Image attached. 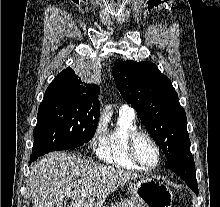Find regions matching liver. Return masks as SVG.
Here are the masks:
<instances>
[{"label": "liver", "instance_id": "obj_1", "mask_svg": "<svg viewBox=\"0 0 220 207\" xmlns=\"http://www.w3.org/2000/svg\"><path fill=\"white\" fill-rule=\"evenodd\" d=\"M138 178V174L74 154L49 153L31 168L32 207H63L69 197L67 207H100L111 193Z\"/></svg>", "mask_w": 220, "mask_h": 207}]
</instances>
